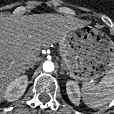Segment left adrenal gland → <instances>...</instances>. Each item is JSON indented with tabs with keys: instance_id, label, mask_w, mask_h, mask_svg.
<instances>
[{
	"instance_id": "a2214340",
	"label": "left adrenal gland",
	"mask_w": 114,
	"mask_h": 114,
	"mask_svg": "<svg viewBox=\"0 0 114 114\" xmlns=\"http://www.w3.org/2000/svg\"><path fill=\"white\" fill-rule=\"evenodd\" d=\"M66 70V68L64 67V64H61V71L60 74H64V71Z\"/></svg>"
}]
</instances>
